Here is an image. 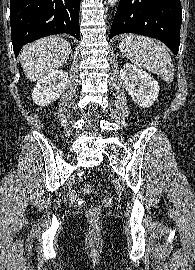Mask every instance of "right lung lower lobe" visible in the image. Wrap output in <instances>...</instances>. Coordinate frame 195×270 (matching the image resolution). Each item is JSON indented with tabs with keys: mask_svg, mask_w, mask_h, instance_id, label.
Returning a JSON list of instances; mask_svg holds the SVG:
<instances>
[{
	"mask_svg": "<svg viewBox=\"0 0 195 270\" xmlns=\"http://www.w3.org/2000/svg\"><path fill=\"white\" fill-rule=\"evenodd\" d=\"M80 0H10L15 56L23 45L41 37L68 33L80 38Z\"/></svg>",
	"mask_w": 195,
	"mask_h": 270,
	"instance_id": "obj_1",
	"label": "right lung lower lobe"
}]
</instances>
